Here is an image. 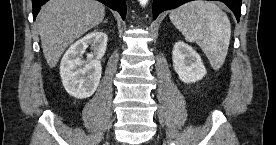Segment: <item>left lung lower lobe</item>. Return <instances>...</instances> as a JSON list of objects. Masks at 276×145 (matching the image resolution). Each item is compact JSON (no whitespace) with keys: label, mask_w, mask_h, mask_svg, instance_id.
<instances>
[{"label":"left lung lower lobe","mask_w":276,"mask_h":145,"mask_svg":"<svg viewBox=\"0 0 276 145\" xmlns=\"http://www.w3.org/2000/svg\"><path fill=\"white\" fill-rule=\"evenodd\" d=\"M192 0H153V17L156 19L159 13L178 7L179 5ZM225 3L235 14L237 21L241 15V0H219Z\"/></svg>","instance_id":"0a47b994"}]
</instances>
